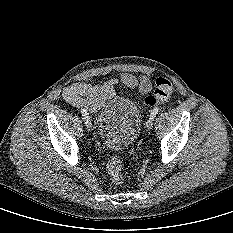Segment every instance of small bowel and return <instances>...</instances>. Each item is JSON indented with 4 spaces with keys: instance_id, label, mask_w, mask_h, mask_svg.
Listing matches in <instances>:
<instances>
[{
    "instance_id": "obj_1",
    "label": "small bowel",
    "mask_w": 233,
    "mask_h": 233,
    "mask_svg": "<svg viewBox=\"0 0 233 233\" xmlns=\"http://www.w3.org/2000/svg\"><path fill=\"white\" fill-rule=\"evenodd\" d=\"M120 81L127 87H137L142 94H147L152 89V84L147 77H135L123 74ZM115 93L114 82L93 86L86 83L73 84L63 91V98L72 106L94 112Z\"/></svg>"
}]
</instances>
